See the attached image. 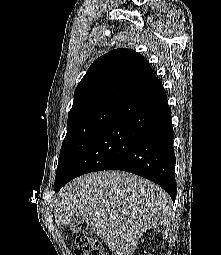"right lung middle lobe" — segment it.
<instances>
[{
	"label": "right lung middle lobe",
	"instance_id": "1",
	"mask_svg": "<svg viewBox=\"0 0 221 255\" xmlns=\"http://www.w3.org/2000/svg\"><path fill=\"white\" fill-rule=\"evenodd\" d=\"M118 107V105H103L69 116L67 134L59 155L55 183L68 173Z\"/></svg>",
	"mask_w": 221,
	"mask_h": 255
}]
</instances>
